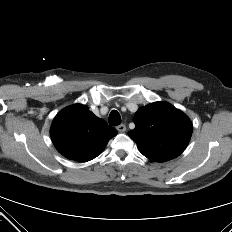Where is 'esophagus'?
<instances>
[{
	"instance_id": "esophagus-1",
	"label": "esophagus",
	"mask_w": 232,
	"mask_h": 232,
	"mask_svg": "<svg viewBox=\"0 0 232 232\" xmlns=\"http://www.w3.org/2000/svg\"><path fill=\"white\" fill-rule=\"evenodd\" d=\"M116 129L118 130V132L123 133L126 131V126L124 124H120L116 127Z\"/></svg>"
}]
</instances>
